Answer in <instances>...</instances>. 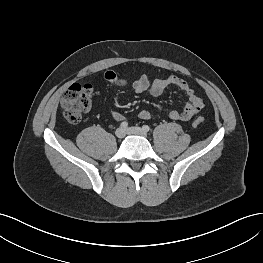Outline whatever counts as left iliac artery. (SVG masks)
I'll list each match as a JSON object with an SVG mask.
<instances>
[{
  "mask_svg": "<svg viewBox=\"0 0 263 263\" xmlns=\"http://www.w3.org/2000/svg\"><path fill=\"white\" fill-rule=\"evenodd\" d=\"M142 129L145 131V132H148L150 130V127L148 125H143L142 126Z\"/></svg>",
  "mask_w": 263,
  "mask_h": 263,
  "instance_id": "obj_1",
  "label": "left iliac artery"
}]
</instances>
